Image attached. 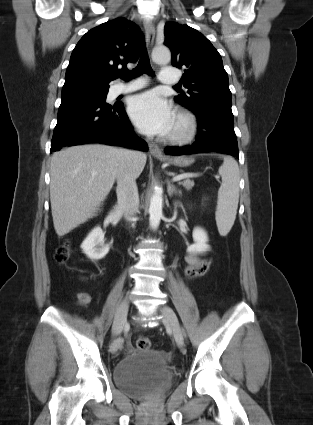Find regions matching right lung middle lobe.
<instances>
[{
  "instance_id": "1",
  "label": "right lung middle lobe",
  "mask_w": 313,
  "mask_h": 425,
  "mask_svg": "<svg viewBox=\"0 0 313 425\" xmlns=\"http://www.w3.org/2000/svg\"><path fill=\"white\" fill-rule=\"evenodd\" d=\"M90 92L93 94L106 98V95L108 93V88H100V89H89Z\"/></svg>"
}]
</instances>
